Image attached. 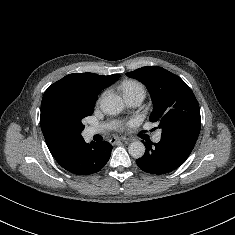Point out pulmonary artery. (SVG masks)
<instances>
[{"instance_id":"1","label":"pulmonary artery","mask_w":235,"mask_h":235,"mask_svg":"<svg viewBox=\"0 0 235 235\" xmlns=\"http://www.w3.org/2000/svg\"><path fill=\"white\" fill-rule=\"evenodd\" d=\"M124 98L126 103L130 106V107H137L139 106L144 98H145V91L143 89V87H137V88H133L130 90H127L124 92ZM108 126L106 125H102V126H89L86 129V136L88 137H92L95 134H99L101 132H103ZM161 140V133L158 132L157 134L154 135L153 137V141L155 143L160 142Z\"/></svg>"}]
</instances>
